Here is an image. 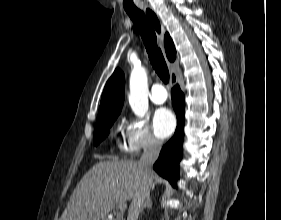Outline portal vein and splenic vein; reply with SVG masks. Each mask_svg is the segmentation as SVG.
I'll list each match as a JSON object with an SVG mask.
<instances>
[{
  "mask_svg": "<svg viewBox=\"0 0 281 220\" xmlns=\"http://www.w3.org/2000/svg\"><path fill=\"white\" fill-rule=\"evenodd\" d=\"M119 209H120L121 211H124V210L126 209V204H125V203L120 204Z\"/></svg>",
  "mask_w": 281,
  "mask_h": 220,
  "instance_id": "18ae733b",
  "label": "portal vein and splenic vein"
}]
</instances>
